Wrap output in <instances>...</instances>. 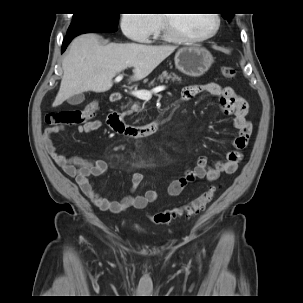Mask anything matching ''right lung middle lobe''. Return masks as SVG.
Wrapping results in <instances>:
<instances>
[{
	"label": "right lung middle lobe",
	"instance_id": "1",
	"mask_svg": "<svg viewBox=\"0 0 303 303\" xmlns=\"http://www.w3.org/2000/svg\"><path fill=\"white\" fill-rule=\"evenodd\" d=\"M119 20L118 13H81L74 14L73 21L67 31V34L79 32L85 28L94 26H115Z\"/></svg>",
	"mask_w": 303,
	"mask_h": 303
}]
</instances>
